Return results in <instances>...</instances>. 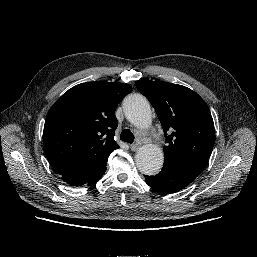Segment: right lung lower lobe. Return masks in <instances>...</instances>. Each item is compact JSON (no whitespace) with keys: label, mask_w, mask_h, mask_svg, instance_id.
<instances>
[{"label":"right lung lower lobe","mask_w":257,"mask_h":257,"mask_svg":"<svg viewBox=\"0 0 257 257\" xmlns=\"http://www.w3.org/2000/svg\"><path fill=\"white\" fill-rule=\"evenodd\" d=\"M104 171H105V170H104ZM104 171H103V172H104ZM103 172H102L101 174H99L98 176L94 177L93 179H91L87 184H88V185H92V184L96 183V182L102 177Z\"/></svg>","instance_id":"1"}]
</instances>
